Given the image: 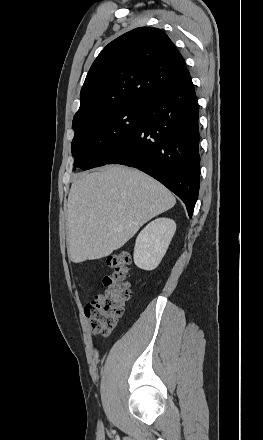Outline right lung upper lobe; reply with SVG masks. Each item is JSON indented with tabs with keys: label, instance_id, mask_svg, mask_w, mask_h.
I'll return each instance as SVG.
<instances>
[{
	"label": "right lung upper lobe",
	"instance_id": "1",
	"mask_svg": "<svg viewBox=\"0 0 263 440\" xmlns=\"http://www.w3.org/2000/svg\"><path fill=\"white\" fill-rule=\"evenodd\" d=\"M184 59L158 28L139 27L109 43L92 64L72 127L101 111L146 102L189 76Z\"/></svg>",
	"mask_w": 263,
	"mask_h": 440
}]
</instances>
